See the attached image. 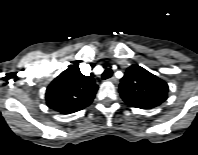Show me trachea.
I'll return each instance as SVG.
<instances>
[{
  "mask_svg": "<svg viewBox=\"0 0 198 155\" xmlns=\"http://www.w3.org/2000/svg\"><path fill=\"white\" fill-rule=\"evenodd\" d=\"M111 76H112V70L110 68H107L102 74V79L105 80L110 78Z\"/></svg>",
  "mask_w": 198,
  "mask_h": 155,
  "instance_id": "obj_1",
  "label": "trachea"
}]
</instances>
